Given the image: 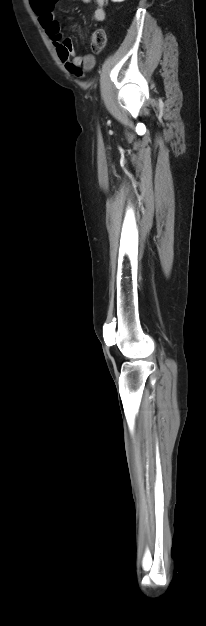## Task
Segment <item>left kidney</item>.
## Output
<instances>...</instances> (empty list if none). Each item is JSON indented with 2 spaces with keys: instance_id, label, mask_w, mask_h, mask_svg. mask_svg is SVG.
Here are the masks:
<instances>
[{
  "instance_id": "5707ae66",
  "label": "left kidney",
  "mask_w": 206,
  "mask_h": 626,
  "mask_svg": "<svg viewBox=\"0 0 206 626\" xmlns=\"http://www.w3.org/2000/svg\"><path fill=\"white\" fill-rule=\"evenodd\" d=\"M112 2H123L125 0H111Z\"/></svg>"
}]
</instances>
